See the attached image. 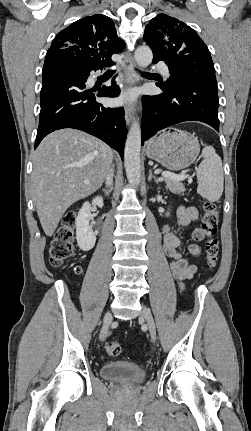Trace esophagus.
<instances>
[{
    "instance_id": "esophagus-1",
    "label": "esophagus",
    "mask_w": 251,
    "mask_h": 431,
    "mask_svg": "<svg viewBox=\"0 0 251 431\" xmlns=\"http://www.w3.org/2000/svg\"><path fill=\"white\" fill-rule=\"evenodd\" d=\"M125 72H126V84L127 86L135 85L138 82V76L136 73V64L132 53L130 51H126L125 55ZM125 120L129 125L134 119V106L132 104L125 105Z\"/></svg>"
}]
</instances>
